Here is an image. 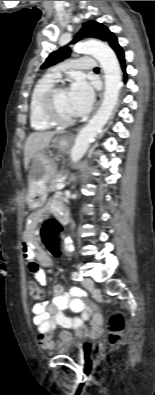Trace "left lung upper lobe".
I'll use <instances>...</instances> for the list:
<instances>
[{"label": "left lung upper lobe", "mask_w": 155, "mask_h": 395, "mask_svg": "<svg viewBox=\"0 0 155 395\" xmlns=\"http://www.w3.org/2000/svg\"><path fill=\"white\" fill-rule=\"evenodd\" d=\"M84 37H93L100 39L102 41H106L109 45L115 50L117 53L118 51L122 50L120 45L118 44L116 36L109 31L104 25L96 22V21H88L83 24V28L71 42V44L76 43L79 39ZM71 50L67 47H63L51 53L45 63L41 66V68H47L51 65L59 63L63 61L65 58L69 56Z\"/></svg>", "instance_id": "5c2ea615"}]
</instances>
